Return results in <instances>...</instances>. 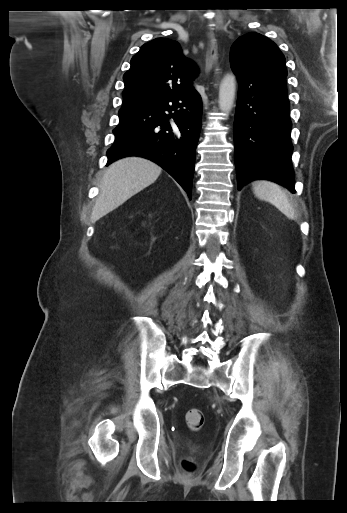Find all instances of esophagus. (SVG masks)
I'll return each mask as SVG.
<instances>
[{
	"label": "esophagus",
	"instance_id": "esophagus-1",
	"mask_svg": "<svg viewBox=\"0 0 347 513\" xmlns=\"http://www.w3.org/2000/svg\"><path fill=\"white\" fill-rule=\"evenodd\" d=\"M208 48L206 52V72L209 73L217 60V45L211 30L207 32Z\"/></svg>",
	"mask_w": 347,
	"mask_h": 513
}]
</instances>
